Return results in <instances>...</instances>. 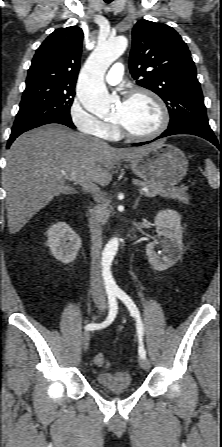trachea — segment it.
<instances>
[{
  "mask_svg": "<svg viewBox=\"0 0 222 447\" xmlns=\"http://www.w3.org/2000/svg\"><path fill=\"white\" fill-rule=\"evenodd\" d=\"M106 3H111L113 0H104Z\"/></svg>",
  "mask_w": 222,
  "mask_h": 447,
  "instance_id": "obj_1",
  "label": "trachea"
}]
</instances>
